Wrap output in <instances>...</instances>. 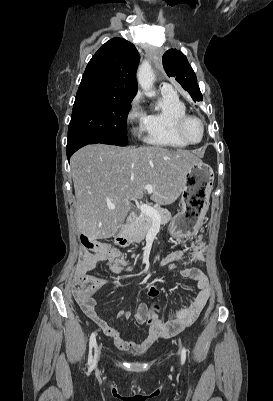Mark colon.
Returning <instances> with one entry per match:
<instances>
[{
  "mask_svg": "<svg viewBox=\"0 0 273 401\" xmlns=\"http://www.w3.org/2000/svg\"><path fill=\"white\" fill-rule=\"evenodd\" d=\"M82 256L86 255L85 251L81 252ZM89 256L93 255L92 251L88 252ZM78 269L75 278H71L70 285L71 287H78L73 288L72 295L73 297H84L85 295H93V293H100L101 292V285L100 284H93L92 279L90 278L93 269V262L92 261H83V259H77ZM151 288V287H149ZM151 295H157L156 287H152L149 290ZM161 309L157 304L154 309L149 314L148 323L153 324L155 323L156 319L158 318Z\"/></svg>",
  "mask_w": 273,
  "mask_h": 401,
  "instance_id": "colon-1",
  "label": "colon"
}]
</instances>
